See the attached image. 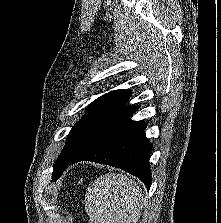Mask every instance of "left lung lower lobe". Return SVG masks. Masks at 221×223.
Wrapping results in <instances>:
<instances>
[{
  "label": "left lung lower lobe",
  "mask_w": 221,
  "mask_h": 223,
  "mask_svg": "<svg viewBox=\"0 0 221 223\" xmlns=\"http://www.w3.org/2000/svg\"><path fill=\"white\" fill-rule=\"evenodd\" d=\"M139 107H134L120 117L70 164L79 161H94L117 167L138 177L149 189L151 186L149 166L151 144L144 134L147 124L130 120Z\"/></svg>",
  "instance_id": "1"
}]
</instances>
